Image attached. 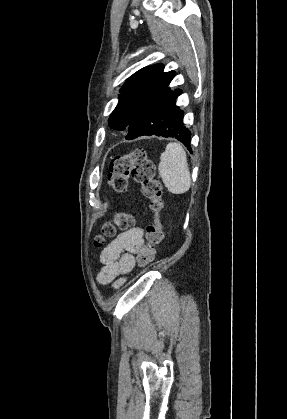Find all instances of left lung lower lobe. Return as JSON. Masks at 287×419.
Returning <instances> with one entry per match:
<instances>
[{"label":"left lung lower lobe","instance_id":"1","mask_svg":"<svg viewBox=\"0 0 287 419\" xmlns=\"http://www.w3.org/2000/svg\"><path fill=\"white\" fill-rule=\"evenodd\" d=\"M181 93L180 89L168 88L142 104L131 117L125 138L132 140L152 135L176 138L191 152V132L184 127V112L176 106Z\"/></svg>","mask_w":287,"mask_h":419}]
</instances>
